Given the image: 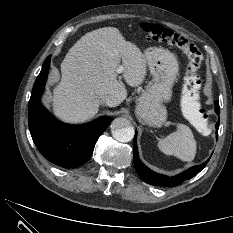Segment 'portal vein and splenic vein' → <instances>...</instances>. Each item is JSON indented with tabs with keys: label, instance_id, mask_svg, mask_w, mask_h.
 I'll list each match as a JSON object with an SVG mask.
<instances>
[{
	"label": "portal vein and splenic vein",
	"instance_id": "obj_1",
	"mask_svg": "<svg viewBox=\"0 0 233 233\" xmlns=\"http://www.w3.org/2000/svg\"><path fill=\"white\" fill-rule=\"evenodd\" d=\"M124 71V67L123 65H120L118 68H117V73L120 74Z\"/></svg>",
	"mask_w": 233,
	"mask_h": 233
}]
</instances>
